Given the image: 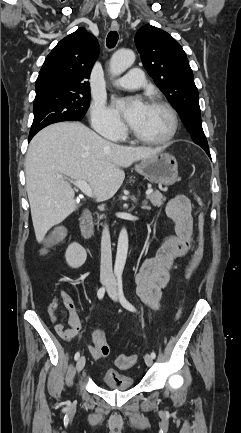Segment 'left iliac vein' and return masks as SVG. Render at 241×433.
<instances>
[{
    "label": "left iliac vein",
    "mask_w": 241,
    "mask_h": 433,
    "mask_svg": "<svg viewBox=\"0 0 241 433\" xmlns=\"http://www.w3.org/2000/svg\"><path fill=\"white\" fill-rule=\"evenodd\" d=\"M107 293L109 295V297L114 300L117 301L118 300V295H117V291H116V287H115V281L111 280L108 284L107 287ZM144 360L147 366H151L153 364V358L151 357V355L146 354L144 356Z\"/></svg>",
    "instance_id": "1"
}]
</instances>
